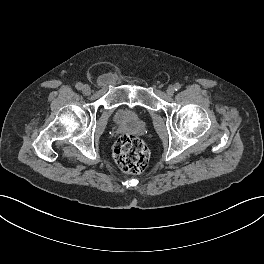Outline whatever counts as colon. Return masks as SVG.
<instances>
[{
	"label": "colon",
	"instance_id": "colon-1",
	"mask_svg": "<svg viewBox=\"0 0 264 264\" xmlns=\"http://www.w3.org/2000/svg\"><path fill=\"white\" fill-rule=\"evenodd\" d=\"M113 158L126 173H141L148 164L149 151L145 143L133 135H122L114 144Z\"/></svg>",
	"mask_w": 264,
	"mask_h": 264
}]
</instances>
